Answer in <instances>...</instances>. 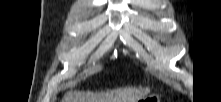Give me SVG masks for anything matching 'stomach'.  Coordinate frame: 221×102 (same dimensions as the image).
Listing matches in <instances>:
<instances>
[{
    "mask_svg": "<svg viewBox=\"0 0 221 102\" xmlns=\"http://www.w3.org/2000/svg\"><path fill=\"white\" fill-rule=\"evenodd\" d=\"M139 102H160V97L156 94H152L141 98Z\"/></svg>",
    "mask_w": 221,
    "mask_h": 102,
    "instance_id": "0dacf381",
    "label": "stomach"
}]
</instances>
